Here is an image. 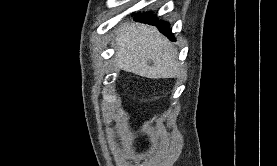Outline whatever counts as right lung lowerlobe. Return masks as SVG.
Returning a JSON list of instances; mask_svg holds the SVG:
<instances>
[{"label":"right lung lower lobe","mask_w":277,"mask_h":166,"mask_svg":"<svg viewBox=\"0 0 277 166\" xmlns=\"http://www.w3.org/2000/svg\"><path fill=\"white\" fill-rule=\"evenodd\" d=\"M135 20L151 25H157V27L160 28L159 30L161 33L167 36L170 40H175L169 27V24L164 23L163 21H158L156 15L152 12H147L143 14L138 13L135 15Z\"/></svg>","instance_id":"obj_1"}]
</instances>
